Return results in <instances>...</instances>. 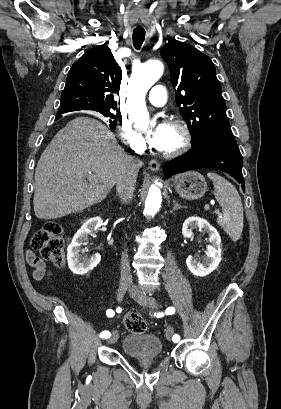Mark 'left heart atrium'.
<instances>
[{
  "mask_svg": "<svg viewBox=\"0 0 281 409\" xmlns=\"http://www.w3.org/2000/svg\"><path fill=\"white\" fill-rule=\"evenodd\" d=\"M167 125L164 123L158 124L152 130L149 131L147 136V142L157 148L160 149L163 145L165 134H166Z\"/></svg>",
  "mask_w": 281,
  "mask_h": 409,
  "instance_id": "39dd6f15",
  "label": "left heart atrium"
}]
</instances>
